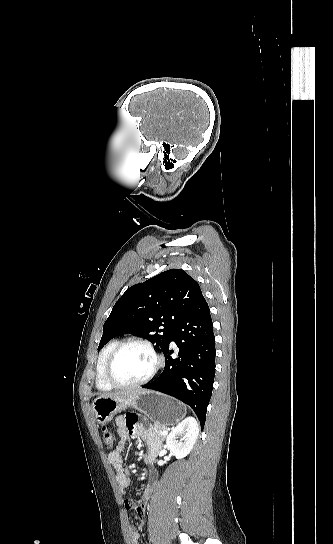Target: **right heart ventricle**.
Listing matches in <instances>:
<instances>
[{
    "label": "right heart ventricle",
    "instance_id": "obj_1",
    "mask_svg": "<svg viewBox=\"0 0 333 544\" xmlns=\"http://www.w3.org/2000/svg\"><path fill=\"white\" fill-rule=\"evenodd\" d=\"M120 343V340L113 339L109 341L100 351L96 363V386L101 391H110L114 387L110 385L104 376V368L106 361L110 355V353L114 350V348Z\"/></svg>",
    "mask_w": 333,
    "mask_h": 544
}]
</instances>
